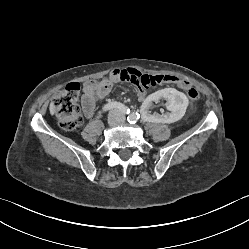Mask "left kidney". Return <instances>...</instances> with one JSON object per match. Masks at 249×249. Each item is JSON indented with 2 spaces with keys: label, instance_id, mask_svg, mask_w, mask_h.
<instances>
[{
  "label": "left kidney",
  "instance_id": "obj_1",
  "mask_svg": "<svg viewBox=\"0 0 249 249\" xmlns=\"http://www.w3.org/2000/svg\"><path fill=\"white\" fill-rule=\"evenodd\" d=\"M166 102V113L153 114V103ZM188 98L174 88H166L145 97L140 117L147 123H173L181 119L187 109Z\"/></svg>",
  "mask_w": 249,
  "mask_h": 249
}]
</instances>
